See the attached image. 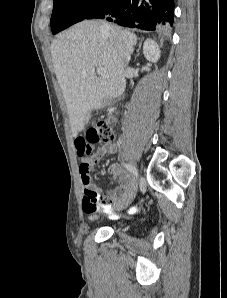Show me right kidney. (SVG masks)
<instances>
[{"mask_svg": "<svg viewBox=\"0 0 227 298\" xmlns=\"http://www.w3.org/2000/svg\"><path fill=\"white\" fill-rule=\"evenodd\" d=\"M143 54L149 62L156 63L160 58L158 44L152 39H147L143 45Z\"/></svg>", "mask_w": 227, "mask_h": 298, "instance_id": "1", "label": "right kidney"}]
</instances>
